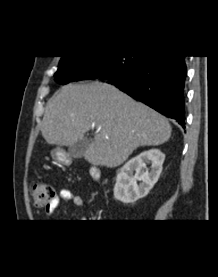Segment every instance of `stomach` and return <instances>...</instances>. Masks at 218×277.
<instances>
[{"label": "stomach", "mask_w": 218, "mask_h": 277, "mask_svg": "<svg viewBox=\"0 0 218 277\" xmlns=\"http://www.w3.org/2000/svg\"><path fill=\"white\" fill-rule=\"evenodd\" d=\"M51 156L53 159H55L56 161L63 163V164H67L68 163V158L64 152V150L60 149V148H55L51 151Z\"/></svg>", "instance_id": "0dacf381"}]
</instances>
